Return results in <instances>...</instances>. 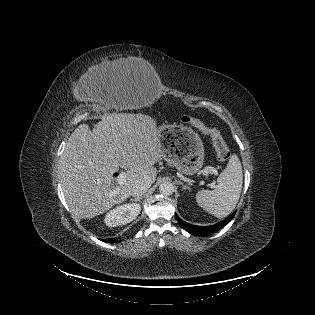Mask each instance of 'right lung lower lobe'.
<instances>
[{"label":"right lung lower lobe","instance_id":"1","mask_svg":"<svg viewBox=\"0 0 315 315\" xmlns=\"http://www.w3.org/2000/svg\"><path fill=\"white\" fill-rule=\"evenodd\" d=\"M103 241L107 242V243H114L116 240H114V239H104Z\"/></svg>","mask_w":315,"mask_h":315}]
</instances>
